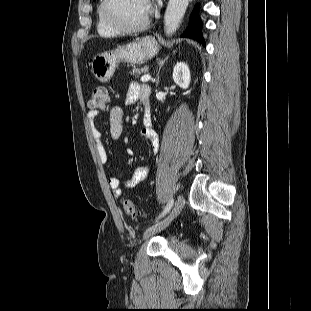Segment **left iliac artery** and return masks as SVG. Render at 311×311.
Instances as JSON below:
<instances>
[{
    "mask_svg": "<svg viewBox=\"0 0 311 311\" xmlns=\"http://www.w3.org/2000/svg\"><path fill=\"white\" fill-rule=\"evenodd\" d=\"M173 203H174V200H173V198H171V199L169 200V202L167 203V205H166L164 211H163V212L161 213V215L159 216V218L162 217V216H164L167 212L170 211V209H171L172 206H173Z\"/></svg>",
    "mask_w": 311,
    "mask_h": 311,
    "instance_id": "obj_1",
    "label": "left iliac artery"
}]
</instances>
